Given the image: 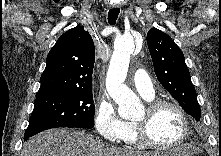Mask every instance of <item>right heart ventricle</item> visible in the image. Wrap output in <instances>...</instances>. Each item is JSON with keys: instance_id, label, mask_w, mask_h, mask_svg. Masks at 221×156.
Listing matches in <instances>:
<instances>
[{"instance_id": "obj_1", "label": "right heart ventricle", "mask_w": 221, "mask_h": 156, "mask_svg": "<svg viewBox=\"0 0 221 156\" xmlns=\"http://www.w3.org/2000/svg\"><path fill=\"white\" fill-rule=\"evenodd\" d=\"M127 125H128V130H127V134L124 139L129 143H134V142H136V139H135V134H134L133 123L127 122Z\"/></svg>"}]
</instances>
